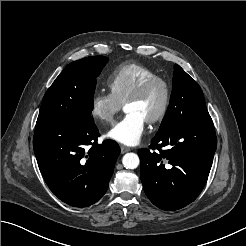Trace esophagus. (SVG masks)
<instances>
[{
    "mask_svg": "<svg viewBox=\"0 0 246 246\" xmlns=\"http://www.w3.org/2000/svg\"><path fill=\"white\" fill-rule=\"evenodd\" d=\"M120 150H121V153L124 154V153L130 151L131 149H130L129 147H126V146H123V145H122V146L120 147Z\"/></svg>",
    "mask_w": 246,
    "mask_h": 246,
    "instance_id": "obj_1",
    "label": "esophagus"
}]
</instances>
